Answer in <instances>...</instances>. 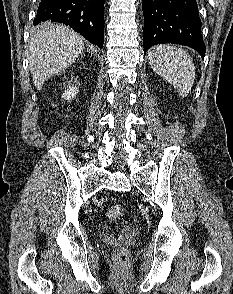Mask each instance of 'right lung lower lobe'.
I'll return each mask as SVG.
<instances>
[{"instance_id":"98d812e1","label":"right lung lower lobe","mask_w":233,"mask_h":294,"mask_svg":"<svg viewBox=\"0 0 233 294\" xmlns=\"http://www.w3.org/2000/svg\"><path fill=\"white\" fill-rule=\"evenodd\" d=\"M103 13L104 0H41L33 25L48 20L63 23L102 48Z\"/></svg>"}]
</instances>
